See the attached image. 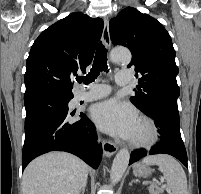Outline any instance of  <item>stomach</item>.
<instances>
[{"mask_svg":"<svg viewBox=\"0 0 201 194\" xmlns=\"http://www.w3.org/2000/svg\"><path fill=\"white\" fill-rule=\"evenodd\" d=\"M134 172L136 176L145 178L151 175L152 170L145 164L138 163L134 166Z\"/></svg>","mask_w":201,"mask_h":194,"instance_id":"obj_1","label":"stomach"}]
</instances>
